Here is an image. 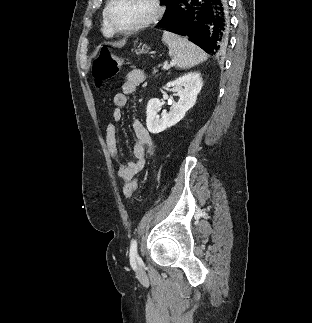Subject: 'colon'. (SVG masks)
Listing matches in <instances>:
<instances>
[{
    "mask_svg": "<svg viewBox=\"0 0 312 323\" xmlns=\"http://www.w3.org/2000/svg\"><path fill=\"white\" fill-rule=\"evenodd\" d=\"M123 66V59L115 57L109 47H103L93 63L92 73L94 78L105 81L115 76ZM137 183L131 181L130 184H124L123 195L125 198L132 195Z\"/></svg>",
    "mask_w": 312,
    "mask_h": 323,
    "instance_id": "obj_1",
    "label": "colon"
}]
</instances>
